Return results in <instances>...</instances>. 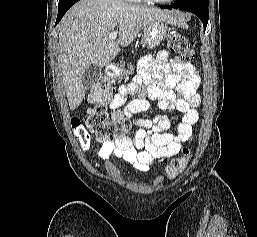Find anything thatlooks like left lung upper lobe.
<instances>
[{
	"instance_id": "left-lung-upper-lobe-1",
	"label": "left lung upper lobe",
	"mask_w": 257,
	"mask_h": 237,
	"mask_svg": "<svg viewBox=\"0 0 257 237\" xmlns=\"http://www.w3.org/2000/svg\"><path fill=\"white\" fill-rule=\"evenodd\" d=\"M209 0H177L176 3L179 5H186L190 3H199L203 5H207Z\"/></svg>"
}]
</instances>
